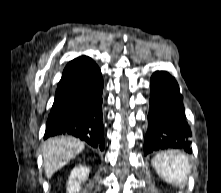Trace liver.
<instances>
[{"label": "liver", "mask_w": 221, "mask_h": 193, "mask_svg": "<svg viewBox=\"0 0 221 193\" xmlns=\"http://www.w3.org/2000/svg\"><path fill=\"white\" fill-rule=\"evenodd\" d=\"M84 147L82 141L69 136H57L46 140L42 146L46 177L51 178L56 171L81 153Z\"/></svg>", "instance_id": "6515ba94"}]
</instances>
